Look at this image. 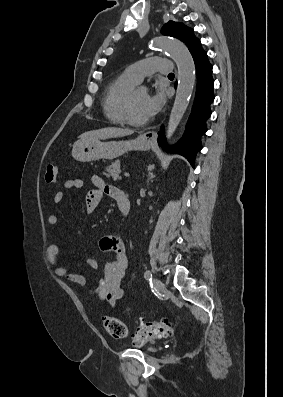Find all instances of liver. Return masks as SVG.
Wrapping results in <instances>:
<instances>
[{"label": "liver", "mask_w": 283, "mask_h": 397, "mask_svg": "<svg viewBox=\"0 0 283 397\" xmlns=\"http://www.w3.org/2000/svg\"><path fill=\"white\" fill-rule=\"evenodd\" d=\"M133 130L123 129L118 127H106L98 130H92L85 132L79 136L80 141L92 140V139H107L123 137L133 134Z\"/></svg>", "instance_id": "1"}]
</instances>
